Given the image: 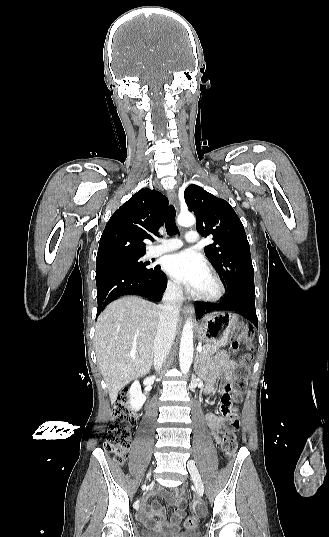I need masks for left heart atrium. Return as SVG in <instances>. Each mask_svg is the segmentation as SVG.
Masks as SVG:
<instances>
[{
    "label": "left heart atrium",
    "instance_id": "39dd6f15",
    "mask_svg": "<svg viewBox=\"0 0 329 537\" xmlns=\"http://www.w3.org/2000/svg\"><path fill=\"white\" fill-rule=\"evenodd\" d=\"M164 270L176 281L197 291L208 269L204 258L194 250H184L164 258Z\"/></svg>",
    "mask_w": 329,
    "mask_h": 537
}]
</instances>
